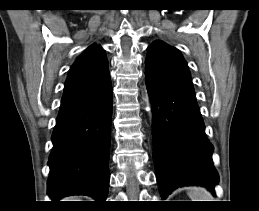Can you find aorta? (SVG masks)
<instances>
[{"label": "aorta", "instance_id": "obj_1", "mask_svg": "<svg viewBox=\"0 0 259 211\" xmlns=\"http://www.w3.org/2000/svg\"><path fill=\"white\" fill-rule=\"evenodd\" d=\"M145 101L147 103V109L150 110L151 104H150V99H149L148 95H146Z\"/></svg>", "mask_w": 259, "mask_h": 211}]
</instances>
